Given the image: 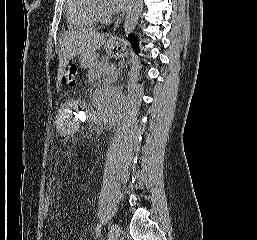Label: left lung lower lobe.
<instances>
[{"instance_id":"1","label":"left lung lower lobe","mask_w":257,"mask_h":240,"mask_svg":"<svg viewBox=\"0 0 257 240\" xmlns=\"http://www.w3.org/2000/svg\"><path fill=\"white\" fill-rule=\"evenodd\" d=\"M129 39H130V42L133 44L134 48L136 49V51L139 52L138 41L136 36L134 34H130Z\"/></svg>"}]
</instances>
